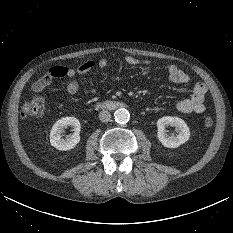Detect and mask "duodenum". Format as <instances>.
Segmentation results:
<instances>
[{
  "instance_id": "1",
  "label": "duodenum",
  "mask_w": 233,
  "mask_h": 233,
  "mask_svg": "<svg viewBox=\"0 0 233 233\" xmlns=\"http://www.w3.org/2000/svg\"><path fill=\"white\" fill-rule=\"evenodd\" d=\"M124 104L121 102H116V101H110L105 103L104 107L107 109H117L123 107Z\"/></svg>"
}]
</instances>
